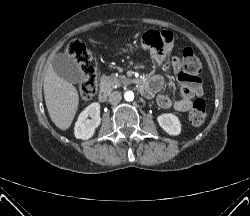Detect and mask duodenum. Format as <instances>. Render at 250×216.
Instances as JSON below:
<instances>
[{
    "label": "duodenum",
    "instance_id": "1",
    "mask_svg": "<svg viewBox=\"0 0 250 216\" xmlns=\"http://www.w3.org/2000/svg\"><path fill=\"white\" fill-rule=\"evenodd\" d=\"M138 89L140 93L146 97H149L151 95V90L148 84L144 81L138 82ZM109 94H110V88L106 84H102L99 90V95H98L99 100L101 102L106 101Z\"/></svg>",
    "mask_w": 250,
    "mask_h": 216
}]
</instances>
